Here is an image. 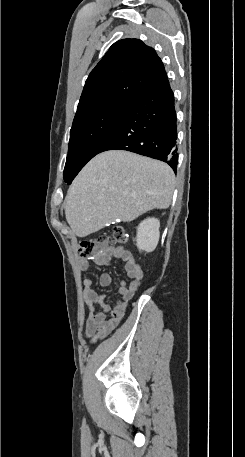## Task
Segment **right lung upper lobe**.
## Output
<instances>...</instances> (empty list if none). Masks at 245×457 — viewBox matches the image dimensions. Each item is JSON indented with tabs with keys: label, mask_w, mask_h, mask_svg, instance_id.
Wrapping results in <instances>:
<instances>
[{
	"label": "right lung upper lobe",
	"mask_w": 245,
	"mask_h": 457,
	"mask_svg": "<svg viewBox=\"0 0 245 457\" xmlns=\"http://www.w3.org/2000/svg\"><path fill=\"white\" fill-rule=\"evenodd\" d=\"M167 81L161 59L138 39L114 43L86 80L76 115L113 103L132 104L146 91Z\"/></svg>",
	"instance_id": "right-lung-upper-lobe-1"
}]
</instances>
